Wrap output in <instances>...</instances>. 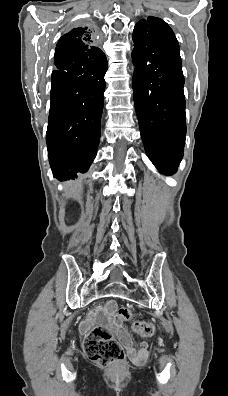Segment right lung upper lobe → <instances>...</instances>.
<instances>
[{
    "label": "right lung upper lobe",
    "instance_id": "cb5924a9",
    "mask_svg": "<svg viewBox=\"0 0 228 396\" xmlns=\"http://www.w3.org/2000/svg\"><path fill=\"white\" fill-rule=\"evenodd\" d=\"M94 41L95 31L93 29L88 27L74 28L60 38L56 46V51L66 47L86 50L93 47Z\"/></svg>",
    "mask_w": 228,
    "mask_h": 396
}]
</instances>
